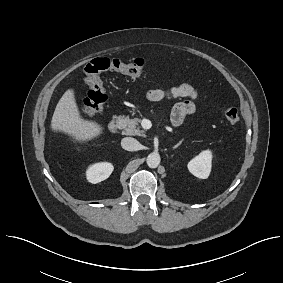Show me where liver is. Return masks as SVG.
Wrapping results in <instances>:
<instances>
[{"label": "liver", "mask_w": 283, "mask_h": 283, "mask_svg": "<svg viewBox=\"0 0 283 283\" xmlns=\"http://www.w3.org/2000/svg\"><path fill=\"white\" fill-rule=\"evenodd\" d=\"M51 131L70 136L74 142H88L102 134L103 128L81 116L72 88L60 98L51 121Z\"/></svg>", "instance_id": "obj_1"}]
</instances>
